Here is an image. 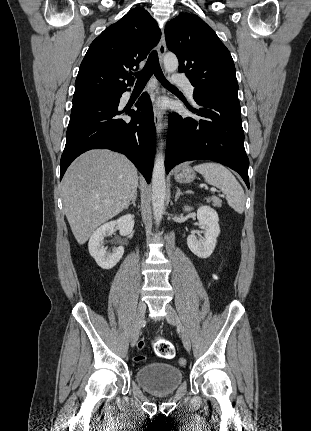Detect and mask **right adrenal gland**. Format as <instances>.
<instances>
[{
  "label": "right adrenal gland",
  "instance_id": "2a0ac1e0",
  "mask_svg": "<svg viewBox=\"0 0 311 431\" xmlns=\"http://www.w3.org/2000/svg\"><path fill=\"white\" fill-rule=\"evenodd\" d=\"M136 198H137V194H135V196H133L130 204H128V206H126L125 210H128V208H129V206H131V204H132V206H136V204H135Z\"/></svg>",
  "mask_w": 311,
  "mask_h": 431
}]
</instances>
